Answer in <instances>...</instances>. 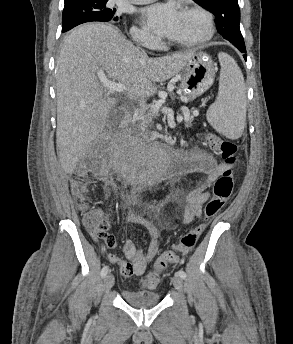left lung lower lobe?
I'll use <instances>...</instances> for the list:
<instances>
[{
    "instance_id": "0a47b994",
    "label": "left lung lower lobe",
    "mask_w": 293,
    "mask_h": 344,
    "mask_svg": "<svg viewBox=\"0 0 293 344\" xmlns=\"http://www.w3.org/2000/svg\"><path fill=\"white\" fill-rule=\"evenodd\" d=\"M242 53H246V48H245V45H237L236 46ZM246 55H244V58L246 60Z\"/></svg>"
}]
</instances>
